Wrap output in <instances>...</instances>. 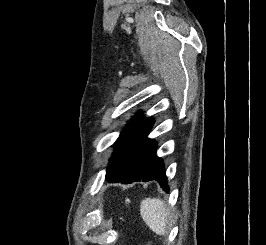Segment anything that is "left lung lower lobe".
<instances>
[{
    "mask_svg": "<svg viewBox=\"0 0 266 245\" xmlns=\"http://www.w3.org/2000/svg\"><path fill=\"white\" fill-rule=\"evenodd\" d=\"M157 144L146 137L141 142L134 164L123 175L106 178L108 182H122L125 184L133 181L156 180L166 192L169 191L165 176L164 164L161 158L156 156Z\"/></svg>",
    "mask_w": 266,
    "mask_h": 245,
    "instance_id": "0a47b994",
    "label": "left lung lower lobe"
}]
</instances>
